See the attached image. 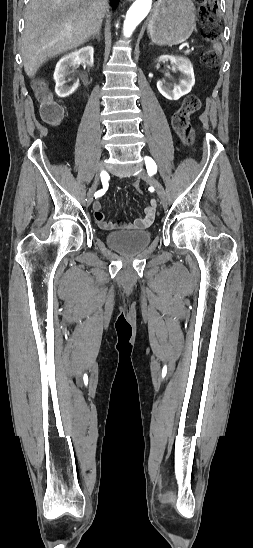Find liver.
I'll return each instance as SVG.
<instances>
[{
    "label": "liver",
    "mask_w": 253,
    "mask_h": 548,
    "mask_svg": "<svg viewBox=\"0 0 253 548\" xmlns=\"http://www.w3.org/2000/svg\"><path fill=\"white\" fill-rule=\"evenodd\" d=\"M107 0H30L21 38L29 78L49 58L75 49L97 33L108 11Z\"/></svg>",
    "instance_id": "obj_1"
}]
</instances>
